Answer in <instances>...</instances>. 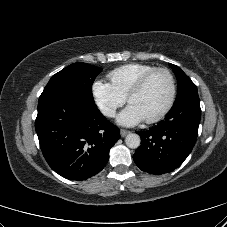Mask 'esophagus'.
<instances>
[{
	"label": "esophagus",
	"mask_w": 227,
	"mask_h": 227,
	"mask_svg": "<svg viewBox=\"0 0 227 227\" xmlns=\"http://www.w3.org/2000/svg\"><path fill=\"white\" fill-rule=\"evenodd\" d=\"M129 133H130V131H128V130H125V129H121V130H120L121 137H125V136L128 135Z\"/></svg>",
	"instance_id": "obj_1"
}]
</instances>
